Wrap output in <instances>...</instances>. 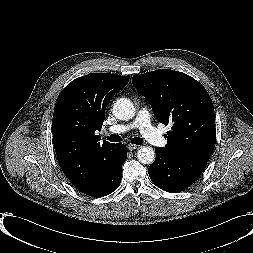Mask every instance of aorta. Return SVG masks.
I'll use <instances>...</instances> for the list:
<instances>
[{
	"instance_id": "aorta-1",
	"label": "aorta",
	"mask_w": 253,
	"mask_h": 253,
	"mask_svg": "<svg viewBox=\"0 0 253 253\" xmlns=\"http://www.w3.org/2000/svg\"><path fill=\"white\" fill-rule=\"evenodd\" d=\"M113 114L120 120H130L135 115L134 105L127 98L117 99L113 106ZM137 157L142 164H151L155 160V151L151 147L143 146L138 150Z\"/></svg>"
}]
</instances>
